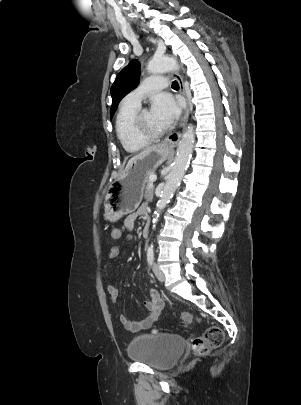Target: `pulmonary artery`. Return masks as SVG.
<instances>
[{"instance_id": "obj_1", "label": "pulmonary artery", "mask_w": 301, "mask_h": 405, "mask_svg": "<svg viewBox=\"0 0 301 405\" xmlns=\"http://www.w3.org/2000/svg\"><path fill=\"white\" fill-rule=\"evenodd\" d=\"M167 79L163 76L147 77L139 87L131 91L123 99V103L132 106H140L141 100L151 92L167 87Z\"/></svg>"}]
</instances>
